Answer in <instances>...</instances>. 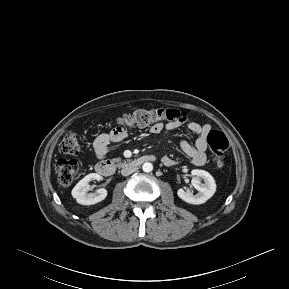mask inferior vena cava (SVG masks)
Wrapping results in <instances>:
<instances>
[{
    "label": "inferior vena cava",
    "mask_w": 289,
    "mask_h": 289,
    "mask_svg": "<svg viewBox=\"0 0 289 289\" xmlns=\"http://www.w3.org/2000/svg\"><path fill=\"white\" fill-rule=\"evenodd\" d=\"M137 170V167H134V166H127V167H124L122 170H121V174L123 176H128L130 174H132L133 172H135Z\"/></svg>",
    "instance_id": "1"
}]
</instances>
